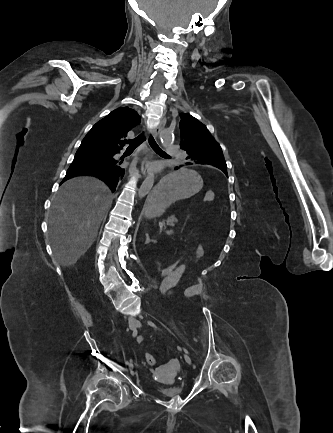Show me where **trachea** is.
I'll return each mask as SVG.
<instances>
[{
    "mask_svg": "<svg viewBox=\"0 0 333 433\" xmlns=\"http://www.w3.org/2000/svg\"><path fill=\"white\" fill-rule=\"evenodd\" d=\"M143 141H145V136H144V132H142L138 137L132 139V140H128L126 141L127 144H129V149H135L136 147H138ZM149 143L150 146L152 147V149L158 153H161L163 155H168L166 152H164L156 143V141L154 140V138L152 136H150L149 138Z\"/></svg>",
    "mask_w": 333,
    "mask_h": 433,
    "instance_id": "3493384b",
    "label": "trachea"
}]
</instances>
